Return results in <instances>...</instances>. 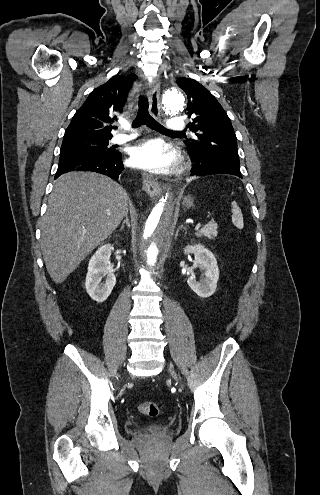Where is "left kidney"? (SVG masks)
Returning <instances> with one entry per match:
<instances>
[{
	"label": "left kidney",
	"instance_id": "left-kidney-1",
	"mask_svg": "<svg viewBox=\"0 0 320 495\" xmlns=\"http://www.w3.org/2000/svg\"><path fill=\"white\" fill-rule=\"evenodd\" d=\"M184 253L194 254L193 266L203 272L200 281H197L194 276L188 278L189 287L202 298L211 296L215 292L219 280V268L215 256L201 244L186 246Z\"/></svg>",
	"mask_w": 320,
	"mask_h": 495
}]
</instances>
